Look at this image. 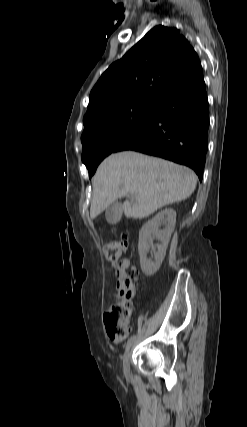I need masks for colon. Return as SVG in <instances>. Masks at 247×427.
<instances>
[{"mask_svg": "<svg viewBox=\"0 0 247 427\" xmlns=\"http://www.w3.org/2000/svg\"><path fill=\"white\" fill-rule=\"evenodd\" d=\"M128 247L126 238L112 240L103 247L105 258L112 264H116ZM131 315V302L129 299H118L104 315V322L109 338L114 342L124 340L129 331Z\"/></svg>", "mask_w": 247, "mask_h": 427, "instance_id": "colon-1", "label": "colon"}]
</instances>
